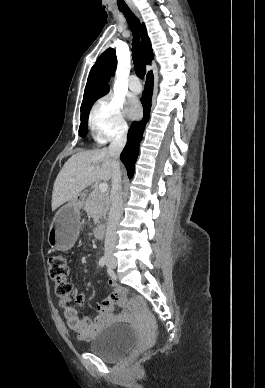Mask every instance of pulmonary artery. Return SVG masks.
Masks as SVG:
<instances>
[{
  "label": "pulmonary artery",
  "mask_w": 265,
  "mask_h": 388,
  "mask_svg": "<svg viewBox=\"0 0 265 388\" xmlns=\"http://www.w3.org/2000/svg\"><path fill=\"white\" fill-rule=\"evenodd\" d=\"M129 89L134 90V92L138 93L141 90V87H139V82L141 81L140 75H129L128 76Z\"/></svg>",
  "instance_id": "e3ab8cb5"
}]
</instances>
